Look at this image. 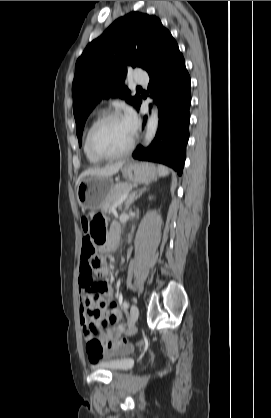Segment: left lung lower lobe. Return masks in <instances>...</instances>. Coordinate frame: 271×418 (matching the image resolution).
Wrapping results in <instances>:
<instances>
[{"label":"left lung lower lobe","mask_w":271,"mask_h":418,"mask_svg":"<svg viewBox=\"0 0 271 418\" xmlns=\"http://www.w3.org/2000/svg\"><path fill=\"white\" fill-rule=\"evenodd\" d=\"M148 74V90L159 107V126L151 145L147 149L139 145L133 157L165 164L181 175L189 139L191 85L185 60L173 37Z\"/></svg>","instance_id":"0a47b994"}]
</instances>
